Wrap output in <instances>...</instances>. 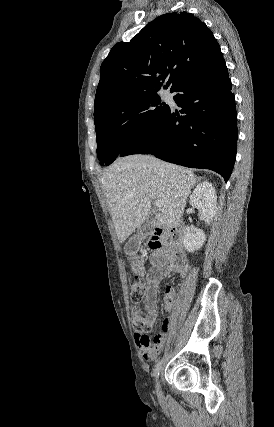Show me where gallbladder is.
Segmentation results:
<instances>
[{"mask_svg": "<svg viewBox=\"0 0 274 427\" xmlns=\"http://www.w3.org/2000/svg\"><path fill=\"white\" fill-rule=\"evenodd\" d=\"M154 219V215H152V217H148L144 225L140 227L139 231H136V233L130 237L129 241H127L124 247L126 255H132V253H137V251H139L142 239H144L145 235H149V233L152 231V221H154Z\"/></svg>", "mask_w": 274, "mask_h": 427, "instance_id": "bac80fb5", "label": "gallbladder"}]
</instances>
